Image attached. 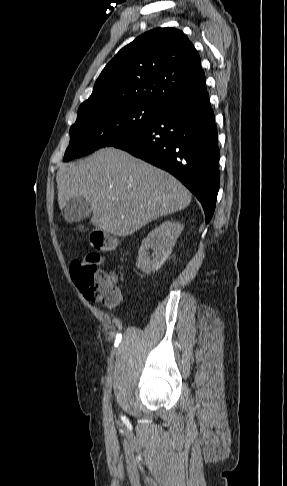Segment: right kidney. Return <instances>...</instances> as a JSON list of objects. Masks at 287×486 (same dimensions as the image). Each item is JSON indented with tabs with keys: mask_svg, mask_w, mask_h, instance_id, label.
<instances>
[{
	"mask_svg": "<svg viewBox=\"0 0 287 486\" xmlns=\"http://www.w3.org/2000/svg\"><path fill=\"white\" fill-rule=\"evenodd\" d=\"M183 230V225L174 221H165L152 230L142 241L138 251L136 267L143 273L157 271L172 252L177 238ZM149 249L153 250L149 255Z\"/></svg>",
	"mask_w": 287,
	"mask_h": 486,
	"instance_id": "1",
	"label": "right kidney"
}]
</instances>
